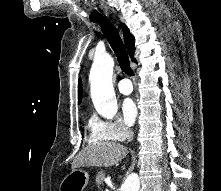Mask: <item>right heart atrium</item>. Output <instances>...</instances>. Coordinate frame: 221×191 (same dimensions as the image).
<instances>
[{
    "mask_svg": "<svg viewBox=\"0 0 221 191\" xmlns=\"http://www.w3.org/2000/svg\"><path fill=\"white\" fill-rule=\"evenodd\" d=\"M131 128L122 120L94 119L91 125V136L95 140H112L123 142L130 137Z\"/></svg>",
    "mask_w": 221,
    "mask_h": 191,
    "instance_id": "obj_1",
    "label": "right heart atrium"
}]
</instances>
